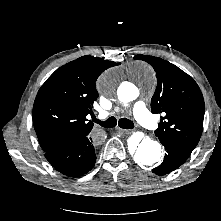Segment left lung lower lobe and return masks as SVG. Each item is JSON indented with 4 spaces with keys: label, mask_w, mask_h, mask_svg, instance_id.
I'll list each match as a JSON object with an SVG mask.
<instances>
[{
    "label": "left lung lower lobe",
    "mask_w": 221,
    "mask_h": 221,
    "mask_svg": "<svg viewBox=\"0 0 221 221\" xmlns=\"http://www.w3.org/2000/svg\"><path fill=\"white\" fill-rule=\"evenodd\" d=\"M167 154L162 164L152 171L157 175L167 174L181 166L190 156L193 149L172 142H162Z\"/></svg>",
    "instance_id": "obj_1"
}]
</instances>
